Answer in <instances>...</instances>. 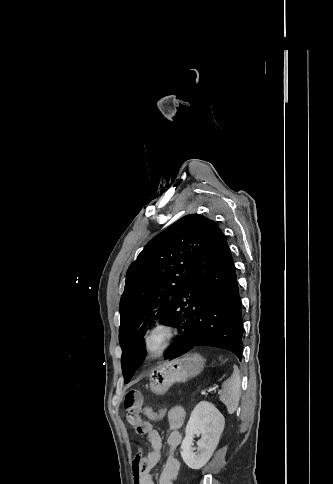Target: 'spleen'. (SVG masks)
<instances>
[{"instance_id": "spleen-1", "label": "spleen", "mask_w": 333, "mask_h": 484, "mask_svg": "<svg viewBox=\"0 0 333 484\" xmlns=\"http://www.w3.org/2000/svg\"><path fill=\"white\" fill-rule=\"evenodd\" d=\"M240 394L239 370L235 366L233 374L223 383L222 390L219 391V399L226 406L229 414H233L236 411Z\"/></svg>"}]
</instances>
